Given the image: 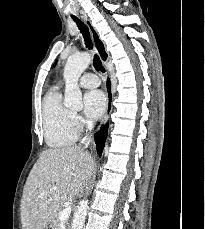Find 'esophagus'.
<instances>
[{"instance_id":"obj_1","label":"esophagus","mask_w":205,"mask_h":229,"mask_svg":"<svg viewBox=\"0 0 205 229\" xmlns=\"http://www.w3.org/2000/svg\"><path fill=\"white\" fill-rule=\"evenodd\" d=\"M85 23L88 26L95 48L99 54V57L105 67V84H106V95H107V107H106V112L104 115V119H103V124H106L110 118V114L112 112L113 106H112V102H113V87H112V79H111V75H110V71L108 68V63H109V53L106 50V46L105 43L103 42V40L100 38L97 30L95 29V27L93 26L92 22L86 17L85 18Z\"/></svg>"}]
</instances>
